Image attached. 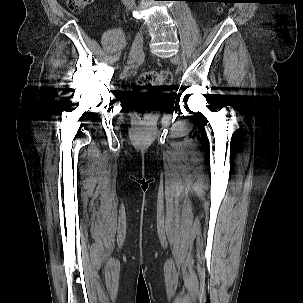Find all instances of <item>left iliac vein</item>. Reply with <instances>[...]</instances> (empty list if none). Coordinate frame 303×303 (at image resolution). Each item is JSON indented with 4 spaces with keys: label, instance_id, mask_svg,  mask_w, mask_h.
Masks as SVG:
<instances>
[{
    "label": "left iliac vein",
    "instance_id": "1",
    "mask_svg": "<svg viewBox=\"0 0 303 303\" xmlns=\"http://www.w3.org/2000/svg\"><path fill=\"white\" fill-rule=\"evenodd\" d=\"M175 59L178 60L179 63L182 62V55L179 53L175 56Z\"/></svg>",
    "mask_w": 303,
    "mask_h": 303
}]
</instances>
